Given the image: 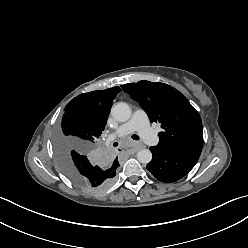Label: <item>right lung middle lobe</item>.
Instances as JSON below:
<instances>
[{
  "instance_id": "right-lung-middle-lobe-1",
  "label": "right lung middle lobe",
  "mask_w": 248,
  "mask_h": 248,
  "mask_svg": "<svg viewBox=\"0 0 248 248\" xmlns=\"http://www.w3.org/2000/svg\"><path fill=\"white\" fill-rule=\"evenodd\" d=\"M99 135L86 113L79 108L65 111L61 129L56 133V149L63 172L74 183L90 191L106 189L116 175V168L92 153ZM71 149L74 150L70 152ZM74 151L84 155L88 161L75 165L71 157Z\"/></svg>"
}]
</instances>
